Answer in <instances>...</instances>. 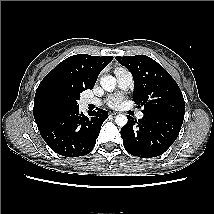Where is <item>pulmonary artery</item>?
I'll use <instances>...</instances> for the list:
<instances>
[{
  "label": "pulmonary artery",
  "instance_id": "e3ab8cb5",
  "mask_svg": "<svg viewBox=\"0 0 214 214\" xmlns=\"http://www.w3.org/2000/svg\"><path fill=\"white\" fill-rule=\"evenodd\" d=\"M115 76L117 79L118 87L120 89H127L131 86L133 82V77L132 74L125 68H117L115 69ZM101 102L99 99L96 98H87L84 100L85 105H99ZM144 117L143 112H138L137 113V118L142 119Z\"/></svg>",
  "mask_w": 214,
  "mask_h": 214
}]
</instances>
